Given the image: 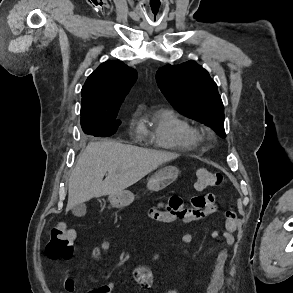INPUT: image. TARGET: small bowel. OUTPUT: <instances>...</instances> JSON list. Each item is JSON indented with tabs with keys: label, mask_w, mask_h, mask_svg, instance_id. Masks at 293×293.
<instances>
[{
	"label": "small bowel",
	"mask_w": 293,
	"mask_h": 293,
	"mask_svg": "<svg viewBox=\"0 0 293 293\" xmlns=\"http://www.w3.org/2000/svg\"><path fill=\"white\" fill-rule=\"evenodd\" d=\"M192 208H184L183 201L179 196H172L167 201L159 202L157 205L149 209V217L161 224H168L173 222L184 223H198L205 217L213 215L216 212V198L213 193H207L205 195H197L192 199ZM214 238H222L227 246H233L235 243V237L232 233L219 232L214 230L212 232ZM193 240V234L191 230L184 232L182 236V242L185 245H190ZM111 243L107 240L102 241L99 245H96L91 250V256L93 259L99 260L106 256L111 250ZM227 251L222 249L217 255L216 262L211 271L209 283L204 293H218L224 280V267L227 260ZM134 280L143 289H149L153 284V274L151 270L146 266H137L134 270ZM64 289L66 293H74L76 291V285L73 279L67 278L64 282ZM115 290L114 282H107L96 289H91L88 293H113ZM64 293V292H60ZM166 293H180L177 289H169Z\"/></svg>",
	"instance_id": "1"
}]
</instances>
